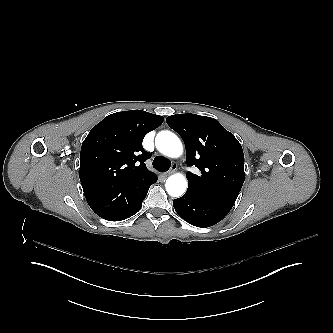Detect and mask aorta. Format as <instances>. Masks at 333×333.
Listing matches in <instances>:
<instances>
[{"instance_id":"1","label":"aorta","mask_w":333,"mask_h":333,"mask_svg":"<svg viewBox=\"0 0 333 333\" xmlns=\"http://www.w3.org/2000/svg\"><path fill=\"white\" fill-rule=\"evenodd\" d=\"M156 148L164 155L178 158L183 153L180 139L170 131L159 132L155 139ZM166 191L172 197H179L187 189V180L182 174L171 175L166 180Z\"/></svg>"}]
</instances>
